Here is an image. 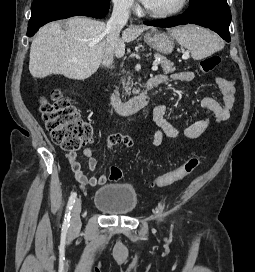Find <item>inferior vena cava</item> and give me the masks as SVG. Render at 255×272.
Returning a JSON list of instances; mask_svg holds the SVG:
<instances>
[{"instance_id":"inferior-vena-cava-1","label":"inferior vena cava","mask_w":255,"mask_h":272,"mask_svg":"<svg viewBox=\"0 0 255 272\" xmlns=\"http://www.w3.org/2000/svg\"><path fill=\"white\" fill-rule=\"evenodd\" d=\"M130 13V4L125 0H117L114 3L111 18L107 22V49L103 65L112 68L113 64V51L119 39L120 31L127 23Z\"/></svg>"}]
</instances>
